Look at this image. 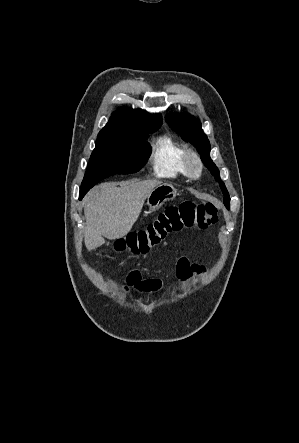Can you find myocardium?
Masks as SVG:
<instances>
[{"mask_svg": "<svg viewBox=\"0 0 299 443\" xmlns=\"http://www.w3.org/2000/svg\"><path fill=\"white\" fill-rule=\"evenodd\" d=\"M183 165L186 174L190 178H198L203 170L200 156L194 150H186L183 157Z\"/></svg>", "mask_w": 299, "mask_h": 443, "instance_id": "obj_1", "label": "myocardium"}]
</instances>
